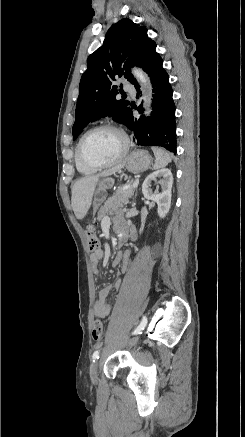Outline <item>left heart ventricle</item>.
I'll return each mask as SVG.
<instances>
[{"mask_svg":"<svg viewBox=\"0 0 245 437\" xmlns=\"http://www.w3.org/2000/svg\"><path fill=\"white\" fill-rule=\"evenodd\" d=\"M122 148V137L117 132L107 129L91 133L82 145L84 156L97 163H105L115 159Z\"/></svg>","mask_w":245,"mask_h":437,"instance_id":"obj_1","label":"left heart ventricle"}]
</instances>
